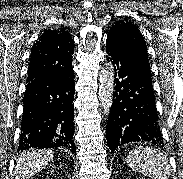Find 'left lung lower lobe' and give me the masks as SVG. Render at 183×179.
<instances>
[{"label":"left lung lower lobe","instance_id":"left-lung-lower-lobe-1","mask_svg":"<svg viewBox=\"0 0 183 179\" xmlns=\"http://www.w3.org/2000/svg\"><path fill=\"white\" fill-rule=\"evenodd\" d=\"M115 71V91L107 124V143L115 151L128 142L163 144L148 59L116 35L106 41Z\"/></svg>","mask_w":183,"mask_h":179}]
</instances>
